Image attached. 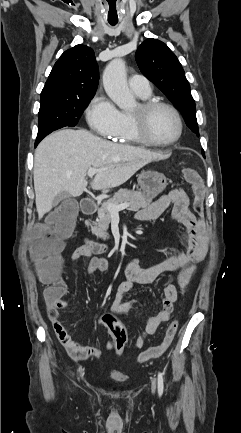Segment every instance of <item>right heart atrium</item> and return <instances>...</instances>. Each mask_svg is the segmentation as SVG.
Listing matches in <instances>:
<instances>
[{"instance_id":"d8ad5b80","label":"right heart atrium","mask_w":241,"mask_h":433,"mask_svg":"<svg viewBox=\"0 0 241 433\" xmlns=\"http://www.w3.org/2000/svg\"><path fill=\"white\" fill-rule=\"evenodd\" d=\"M86 115L90 127L104 137L115 135L122 121V113L104 95H98L91 101Z\"/></svg>"}]
</instances>
